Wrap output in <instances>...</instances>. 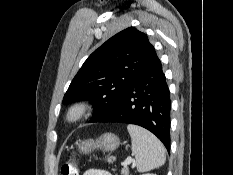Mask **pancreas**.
I'll use <instances>...</instances> for the list:
<instances>
[{
    "label": "pancreas",
    "mask_w": 233,
    "mask_h": 175,
    "mask_svg": "<svg viewBox=\"0 0 233 175\" xmlns=\"http://www.w3.org/2000/svg\"><path fill=\"white\" fill-rule=\"evenodd\" d=\"M121 173H122V175H129V169L124 167V168H122Z\"/></svg>",
    "instance_id": "cf45deb5"
}]
</instances>
